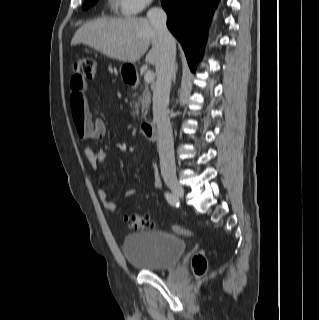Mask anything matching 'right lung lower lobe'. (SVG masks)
Here are the masks:
<instances>
[{
    "mask_svg": "<svg viewBox=\"0 0 319 320\" xmlns=\"http://www.w3.org/2000/svg\"><path fill=\"white\" fill-rule=\"evenodd\" d=\"M220 0H161L167 26L180 41L188 64L195 71L208 23Z\"/></svg>",
    "mask_w": 319,
    "mask_h": 320,
    "instance_id": "right-lung-lower-lobe-1",
    "label": "right lung lower lobe"
}]
</instances>
